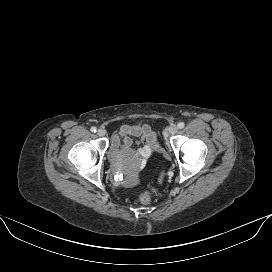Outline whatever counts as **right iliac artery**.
I'll return each mask as SVG.
<instances>
[{
	"instance_id": "right-iliac-artery-1",
	"label": "right iliac artery",
	"mask_w": 272,
	"mask_h": 272,
	"mask_svg": "<svg viewBox=\"0 0 272 272\" xmlns=\"http://www.w3.org/2000/svg\"><path fill=\"white\" fill-rule=\"evenodd\" d=\"M91 132L95 133L97 131L96 127H92L91 129Z\"/></svg>"
}]
</instances>
